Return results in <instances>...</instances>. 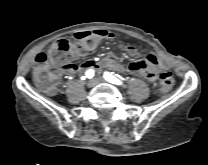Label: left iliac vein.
<instances>
[{
	"instance_id": "obj_1",
	"label": "left iliac vein",
	"mask_w": 208,
	"mask_h": 165,
	"mask_svg": "<svg viewBox=\"0 0 208 165\" xmlns=\"http://www.w3.org/2000/svg\"><path fill=\"white\" fill-rule=\"evenodd\" d=\"M95 80H96L97 83L105 82V80L102 77H97V78H95Z\"/></svg>"
}]
</instances>
